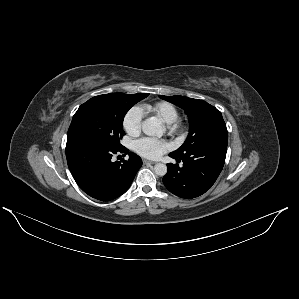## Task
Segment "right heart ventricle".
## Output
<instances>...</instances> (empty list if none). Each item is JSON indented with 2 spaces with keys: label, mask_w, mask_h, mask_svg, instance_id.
I'll return each mask as SVG.
<instances>
[{
  "label": "right heart ventricle",
  "mask_w": 299,
  "mask_h": 299,
  "mask_svg": "<svg viewBox=\"0 0 299 299\" xmlns=\"http://www.w3.org/2000/svg\"><path fill=\"white\" fill-rule=\"evenodd\" d=\"M142 109L165 124H171L178 119L179 113L175 106L168 102H156L154 104H145Z\"/></svg>",
  "instance_id": "obj_1"
}]
</instances>
